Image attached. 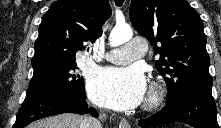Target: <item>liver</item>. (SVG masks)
Segmentation results:
<instances>
[{
	"label": "liver",
	"instance_id": "liver-1",
	"mask_svg": "<svg viewBox=\"0 0 221 128\" xmlns=\"http://www.w3.org/2000/svg\"><path fill=\"white\" fill-rule=\"evenodd\" d=\"M85 117L63 113L53 117H47L36 121L28 126V128H83Z\"/></svg>",
	"mask_w": 221,
	"mask_h": 128
}]
</instances>
